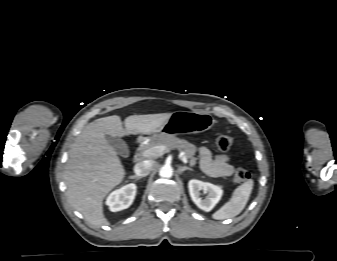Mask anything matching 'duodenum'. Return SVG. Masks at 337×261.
<instances>
[{
    "instance_id": "duodenum-1",
    "label": "duodenum",
    "mask_w": 337,
    "mask_h": 261,
    "mask_svg": "<svg viewBox=\"0 0 337 261\" xmlns=\"http://www.w3.org/2000/svg\"><path fill=\"white\" fill-rule=\"evenodd\" d=\"M142 140H143V139H139V140H138V143H141V142H142Z\"/></svg>"
}]
</instances>
